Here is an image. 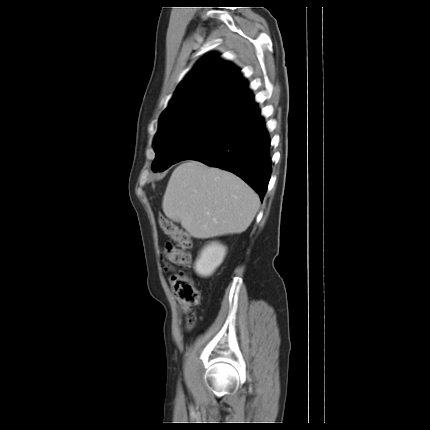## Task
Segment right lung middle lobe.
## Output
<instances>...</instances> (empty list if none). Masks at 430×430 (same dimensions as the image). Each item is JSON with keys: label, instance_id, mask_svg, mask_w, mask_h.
<instances>
[{"label": "right lung middle lobe", "instance_id": "1", "mask_svg": "<svg viewBox=\"0 0 430 430\" xmlns=\"http://www.w3.org/2000/svg\"><path fill=\"white\" fill-rule=\"evenodd\" d=\"M240 116L225 101L210 100L160 118L154 140V172L186 160L231 127Z\"/></svg>", "mask_w": 430, "mask_h": 430}]
</instances>
